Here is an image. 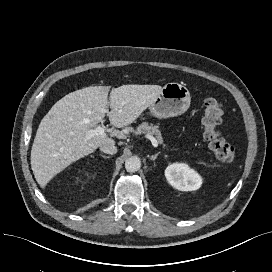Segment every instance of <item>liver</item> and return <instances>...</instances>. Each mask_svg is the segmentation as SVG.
I'll return each instance as SVG.
<instances>
[{
    "mask_svg": "<svg viewBox=\"0 0 272 272\" xmlns=\"http://www.w3.org/2000/svg\"><path fill=\"white\" fill-rule=\"evenodd\" d=\"M109 86H91L57 101L41 120L31 150V168L43 188L62 170L105 143H114L113 130L103 137L88 132L104 122ZM159 85H123L110 92V123L122 128L132 124L161 93Z\"/></svg>",
    "mask_w": 272,
    "mask_h": 272,
    "instance_id": "liver-1",
    "label": "liver"
}]
</instances>
